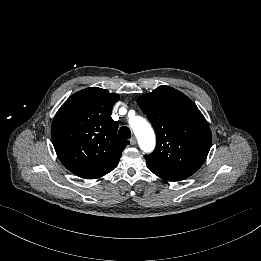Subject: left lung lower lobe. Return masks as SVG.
Instances as JSON below:
<instances>
[{"label":"left lung lower lobe","mask_w":261,"mask_h":261,"mask_svg":"<svg viewBox=\"0 0 261 261\" xmlns=\"http://www.w3.org/2000/svg\"><path fill=\"white\" fill-rule=\"evenodd\" d=\"M147 166L151 172H153L158 177H160L164 180H167V181H181L190 176V175L178 172V171H173L170 169H166V168L157 166V165L149 163V162H147Z\"/></svg>","instance_id":"left-lung-lower-lobe-1"}]
</instances>
